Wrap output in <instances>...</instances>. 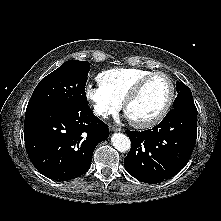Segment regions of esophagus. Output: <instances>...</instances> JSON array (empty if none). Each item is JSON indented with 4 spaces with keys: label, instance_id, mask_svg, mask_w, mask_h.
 <instances>
[{
    "label": "esophagus",
    "instance_id": "obj_1",
    "mask_svg": "<svg viewBox=\"0 0 221 221\" xmlns=\"http://www.w3.org/2000/svg\"><path fill=\"white\" fill-rule=\"evenodd\" d=\"M110 131L115 132V131H121V128L117 127V126H110L109 127Z\"/></svg>",
    "mask_w": 221,
    "mask_h": 221
}]
</instances>
